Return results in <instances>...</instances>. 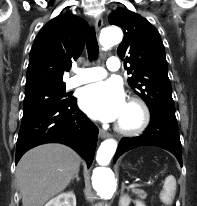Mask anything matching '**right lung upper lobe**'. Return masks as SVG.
Instances as JSON below:
<instances>
[{
	"label": "right lung upper lobe",
	"mask_w": 197,
	"mask_h": 206,
	"mask_svg": "<svg viewBox=\"0 0 197 206\" xmlns=\"http://www.w3.org/2000/svg\"><path fill=\"white\" fill-rule=\"evenodd\" d=\"M87 29L84 19L71 14L59 15L42 27L30 51L25 88L65 85L63 73L79 58Z\"/></svg>",
	"instance_id": "1"
}]
</instances>
